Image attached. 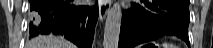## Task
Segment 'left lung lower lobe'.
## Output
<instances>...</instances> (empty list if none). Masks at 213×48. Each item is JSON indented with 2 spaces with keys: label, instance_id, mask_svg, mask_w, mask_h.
<instances>
[{
  "label": "left lung lower lobe",
  "instance_id": "left-lung-lower-lobe-1",
  "mask_svg": "<svg viewBox=\"0 0 213 48\" xmlns=\"http://www.w3.org/2000/svg\"><path fill=\"white\" fill-rule=\"evenodd\" d=\"M123 13L119 48H132L165 34H174L190 47L189 2L140 0Z\"/></svg>",
  "mask_w": 213,
  "mask_h": 48
}]
</instances>
